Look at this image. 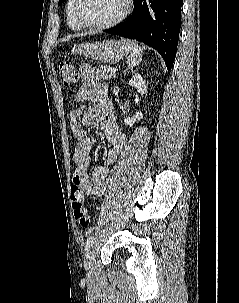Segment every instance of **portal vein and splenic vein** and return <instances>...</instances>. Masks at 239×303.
<instances>
[{
    "label": "portal vein and splenic vein",
    "mask_w": 239,
    "mask_h": 303,
    "mask_svg": "<svg viewBox=\"0 0 239 303\" xmlns=\"http://www.w3.org/2000/svg\"><path fill=\"white\" fill-rule=\"evenodd\" d=\"M111 72H116V69L115 68H111Z\"/></svg>",
    "instance_id": "portal-vein-and-splenic-vein-1"
}]
</instances>
